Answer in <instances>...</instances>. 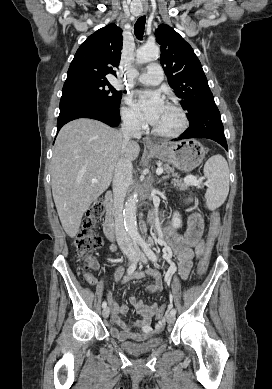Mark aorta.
Returning a JSON list of instances; mask_svg holds the SVG:
<instances>
[{
    "mask_svg": "<svg viewBox=\"0 0 272 389\" xmlns=\"http://www.w3.org/2000/svg\"><path fill=\"white\" fill-rule=\"evenodd\" d=\"M160 55V48L155 44H146L136 52V61L138 64H143L157 59ZM138 203V193H133L127 199L123 210L124 226L128 236L133 242H140L142 240L136 221V209Z\"/></svg>",
    "mask_w": 272,
    "mask_h": 389,
    "instance_id": "762f6f07",
    "label": "aorta"
}]
</instances>
